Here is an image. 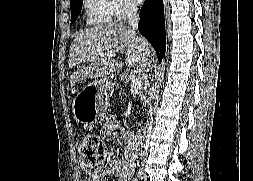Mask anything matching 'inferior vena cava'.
<instances>
[{"instance_id": "inferior-vena-cava-1", "label": "inferior vena cava", "mask_w": 253, "mask_h": 181, "mask_svg": "<svg viewBox=\"0 0 253 181\" xmlns=\"http://www.w3.org/2000/svg\"><path fill=\"white\" fill-rule=\"evenodd\" d=\"M137 11H138V8L136 5L134 4H131L129 5L127 8H126V14H127V17H128V22H129V25L132 27V29H136L137 26H138V22H139V15L137 14ZM142 49L144 48V46L141 44L140 46ZM152 110V109H151ZM154 123H155V120L154 119H151L150 120V125L151 127H149L147 130H146V133L147 134H152L153 133V128L154 127Z\"/></svg>"}]
</instances>
